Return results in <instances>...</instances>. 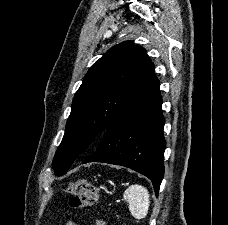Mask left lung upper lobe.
Segmentation results:
<instances>
[{
    "label": "left lung upper lobe",
    "instance_id": "5c2ea615",
    "mask_svg": "<svg viewBox=\"0 0 228 225\" xmlns=\"http://www.w3.org/2000/svg\"><path fill=\"white\" fill-rule=\"evenodd\" d=\"M157 82L154 64L144 48L125 41L109 49L88 70L74 96L52 163L55 174L64 175L75 159Z\"/></svg>",
    "mask_w": 228,
    "mask_h": 225
}]
</instances>
